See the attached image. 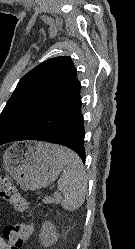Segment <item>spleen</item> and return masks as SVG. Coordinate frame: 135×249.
<instances>
[{
  "label": "spleen",
  "mask_w": 135,
  "mask_h": 249,
  "mask_svg": "<svg viewBox=\"0 0 135 249\" xmlns=\"http://www.w3.org/2000/svg\"><path fill=\"white\" fill-rule=\"evenodd\" d=\"M56 155L65 163V169L58 180V189L63 192L62 207L69 211L79 209L87 194V176L79 156L70 149L54 145Z\"/></svg>",
  "instance_id": "3e777b00"
}]
</instances>
